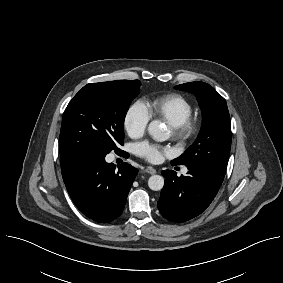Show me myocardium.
<instances>
[{"label": "myocardium", "instance_id": "1", "mask_svg": "<svg viewBox=\"0 0 283 283\" xmlns=\"http://www.w3.org/2000/svg\"><path fill=\"white\" fill-rule=\"evenodd\" d=\"M172 135L180 142L193 140L199 131V122L197 118L189 116L180 124L171 126Z\"/></svg>", "mask_w": 283, "mask_h": 283}]
</instances>
